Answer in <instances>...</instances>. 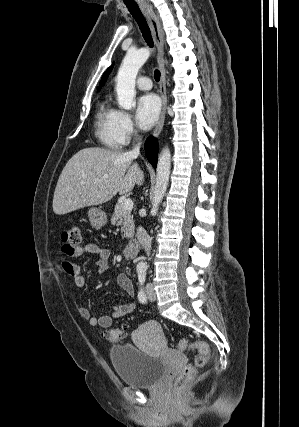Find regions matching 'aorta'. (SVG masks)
Segmentation results:
<instances>
[{
	"label": "aorta",
	"mask_w": 299,
	"mask_h": 427,
	"mask_svg": "<svg viewBox=\"0 0 299 427\" xmlns=\"http://www.w3.org/2000/svg\"><path fill=\"white\" fill-rule=\"evenodd\" d=\"M150 56V50L141 48L135 51L129 50L124 57L116 77V92L118 104L125 110L135 107V81L139 69ZM171 168V154L168 147L163 148L158 158L156 171V184L152 199L151 213L156 214L167 190ZM139 267H145L140 262Z\"/></svg>",
	"instance_id": "obj_1"
}]
</instances>
